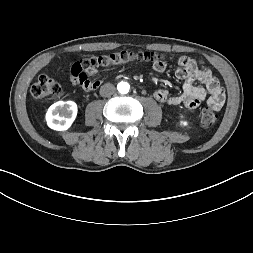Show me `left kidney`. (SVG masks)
Returning a JSON list of instances; mask_svg holds the SVG:
<instances>
[{"label":"left kidney","mask_w":253,"mask_h":253,"mask_svg":"<svg viewBox=\"0 0 253 253\" xmlns=\"http://www.w3.org/2000/svg\"><path fill=\"white\" fill-rule=\"evenodd\" d=\"M181 124L186 126L188 123L186 121H181Z\"/></svg>","instance_id":"1"}]
</instances>
